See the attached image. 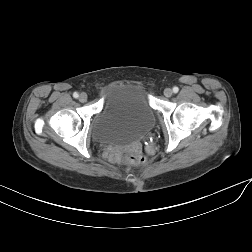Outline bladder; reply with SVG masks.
<instances>
[{"label":"bladder","instance_id":"bladder-1","mask_svg":"<svg viewBox=\"0 0 252 252\" xmlns=\"http://www.w3.org/2000/svg\"><path fill=\"white\" fill-rule=\"evenodd\" d=\"M155 124L154 111L144 87L138 83H113L104 90L103 105L91 126L99 143L130 144Z\"/></svg>","mask_w":252,"mask_h":252}]
</instances>
